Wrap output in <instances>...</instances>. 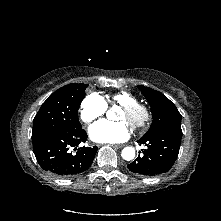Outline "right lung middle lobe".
I'll use <instances>...</instances> for the list:
<instances>
[{
  "label": "right lung middle lobe",
  "instance_id": "1",
  "mask_svg": "<svg viewBox=\"0 0 221 221\" xmlns=\"http://www.w3.org/2000/svg\"><path fill=\"white\" fill-rule=\"evenodd\" d=\"M87 86L83 83H71L55 91L42 104L33 120L32 140L48 132L82 129L78 109Z\"/></svg>",
  "mask_w": 221,
  "mask_h": 221
}]
</instances>
